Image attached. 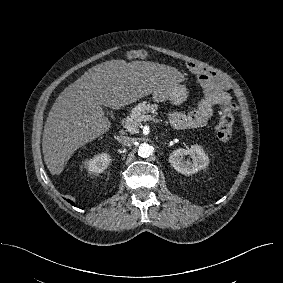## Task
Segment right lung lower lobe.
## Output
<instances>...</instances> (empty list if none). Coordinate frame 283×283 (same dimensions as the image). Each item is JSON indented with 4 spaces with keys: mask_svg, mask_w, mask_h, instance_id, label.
Wrapping results in <instances>:
<instances>
[{
    "mask_svg": "<svg viewBox=\"0 0 283 283\" xmlns=\"http://www.w3.org/2000/svg\"><path fill=\"white\" fill-rule=\"evenodd\" d=\"M68 202H70L72 205H74V203L72 201L68 200Z\"/></svg>",
    "mask_w": 283,
    "mask_h": 283,
    "instance_id": "98d812e1",
    "label": "right lung lower lobe"
}]
</instances>
